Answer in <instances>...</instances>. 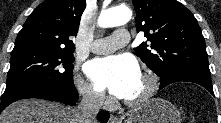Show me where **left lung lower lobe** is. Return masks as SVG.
<instances>
[{"label":"left lung lower lobe","instance_id":"obj_1","mask_svg":"<svg viewBox=\"0 0 221 123\" xmlns=\"http://www.w3.org/2000/svg\"><path fill=\"white\" fill-rule=\"evenodd\" d=\"M178 81H186L197 83L204 88H206L212 95H214L212 82H211V73L203 72L195 69L181 70L166 74L162 78H160V88H164L165 86L178 82Z\"/></svg>","mask_w":221,"mask_h":123}]
</instances>
